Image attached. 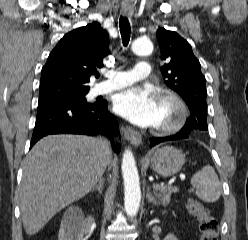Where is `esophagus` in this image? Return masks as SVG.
I'll return each instance as SVG.
<instances>
[{"mask_svg": "<svg viewBox=\"0 0 248 240\" xmlns=\"http://www.w3.org/2000/svg\"><path fill=\"white\" fill-rule=\"evenodd\" d=\"M122 14L131 17L133 15V7L131 5H123ZM121 133L134 146H138L142 143L141 134L130 127H122Z\"/></svg>", "mask_w": 248, "mask_h": 240, "instance_id": "obj_1", "label": "esophagus"}]
</instances>
